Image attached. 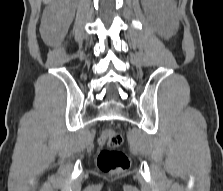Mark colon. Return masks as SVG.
Returning <instances> with one entry per match:
<instances>
[{"instance_id": "obj_1", "label": "colon", "mask_w": 223, "mask_h": 191, "mask_svg": "<svg viewBox=\"0 0 223 191\" xmlns=\"http://www.w3.org/2000/svg\"><path fill=\"white\" fill-rule=\"evenodd\" d=\"M122 135L118 132L104 131L99 143L105 145L98 154L97 166L104 173L125 172L130 167V161L125 152L118 149L122 144Z\"/></svg>"}]
</instances>
